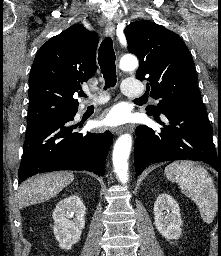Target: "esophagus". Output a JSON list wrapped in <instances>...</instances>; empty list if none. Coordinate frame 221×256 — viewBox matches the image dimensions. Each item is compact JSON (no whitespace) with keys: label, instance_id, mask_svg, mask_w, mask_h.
Instances as JSON below:
<instances>
[{"label":"esophagus","instance_id":"34e87169","mask_svg":"<svg viewBox=\"0 0 221 256\" xmlns=\"http://www.w3.org/2000/svg\"><path fill=\"white\" fill-rule=\"evenodd\" d=\"M105 32H106V35H108L109 37H114V35H115V25L112 21L107 22L106 27H105ZM125 130L133 131L134 130V125H127V126H124V127L116 128L114 130V132L116 134H121Z\"/></svg>","mask_w":221,"mask_h":256}]
</instances>
